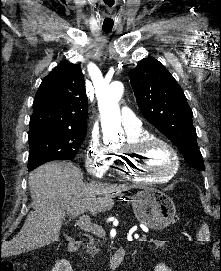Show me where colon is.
Listing matches in <instances>:
<instances>
[{"instance_id": "5ec220e1", "label": "colon", "mask_w": 221, "mask_h": 271, "mask_svg": "<svg viewBox=\"0 0 221 271\" xmlns=\"http://www.w3.org/2000/svg\"><path fill=\"white\" fill-rule=\"evenodd\" d=\"M14 265H12L9 262H4L2 264H0V271H14Z\"/></svg>"}]
</instances>
